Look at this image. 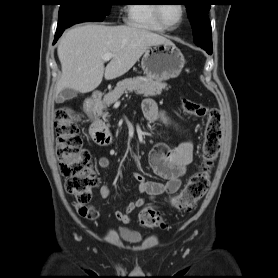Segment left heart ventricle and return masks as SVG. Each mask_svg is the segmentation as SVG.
Segmentation results:
<instances>
[{"mask_svg": "<svg viewBox=\"0 0 278 278\" xmlns=\"http://www.w3.org/2000/svg\"><path fill=\"white\" fill-rule=\"evenodd\" d=\"M181 6L179 4L163 5L161 8V14L163 19L169 25H176L181 18Z\"/></svg>", "mask_w": 278, "mask_h": 278, "instance_id": "left-heart-ventricle-1", "label": "left heart ventricle"}]
</instances>
